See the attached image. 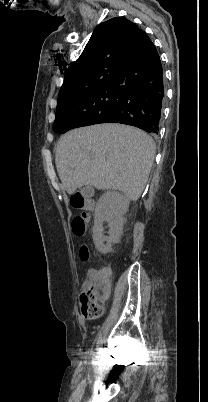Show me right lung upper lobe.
<instances>
[{
	"label": "right lung upper lobe",
	"instance_id": "right-lung-upper-lobe-1",
	"mask_svg": "<svg viewBox=\"0 0 208 402\" xmlns=\"http://www.w3.org/2000/svg\"><path fill=\"white\" fill-rule=\"evenodd\" d=\"M146 37V32L123 17L99 24L81 56L66 70L59 95L114 81Z\"/></svg>",
	"mask_w": 208,
	"mask_h": 402
}]
</instances>
